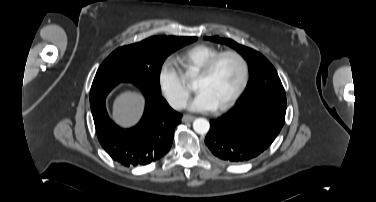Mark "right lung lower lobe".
I'll return each instance as SVG.
<instances>
[{"label":"right lung lower lobe","mask_w":376,"mask_h":202,"mask_svg":"<svg viewBox=\"0 0 376 202\" xmlns=\"http://www.w3.org/2000/svg\"><path fill=\"white\" fill-rule=\"evenodd\" d=\"M117 84L91 87L90 105L99 142L113 160L127 167L160 159L171 148L174 128L182 115L168 105L159 90L135 83L146 98V107L138 125L124 130L110 120L105 108V98Z\"/></svg>","instance_id":"98d812e1"}]
</instances>
